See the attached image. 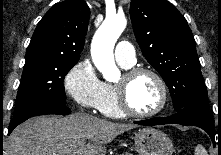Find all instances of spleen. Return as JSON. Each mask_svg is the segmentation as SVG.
Wrapping results in <instances>:
<instances>
[{"mask_svg": "<svg viewBox=\"0 0 221 155\" xmlns=\"http://www.w3.org/2000/svg\"><path fill=\"white\" fill-rule=\"evenodd\" d=\"M195 155H208L207 151L202 145H197L195 148Z\"/></svg>", "mask_w": 221, "mask_h": 155, "instance_id": "1", "label": "spleen"}]
</instances>
